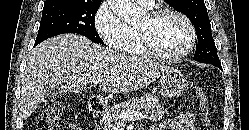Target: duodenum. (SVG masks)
<instances>
[{"instance_id": "duodenum-1", "label": "duodenum", "mask_w": 249, "mask_h": 130, "mask_svg": "<svg viewBox=\"0 0 249 130\" xmlns=\"http://www.w3.org/2000/svg\"><path fill=\"white\" fill-rule=\"evenodd\" d=\"M88 108L94 114L102 113L104 109L102 99L98 96L91 97L88 100Z\"/></svg>"}]
</instances>
